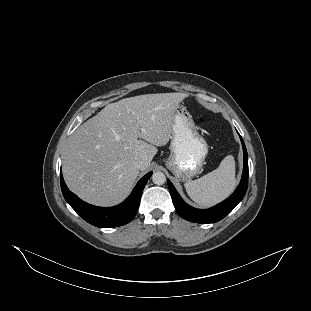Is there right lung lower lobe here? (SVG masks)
Masks as SVG:
<instances>
[{
    "label": "right lung lower lobe",
    "instance_id": "obj_1",
    "mask_svg": "<svg viewBox=\"0 0 311 311\" xmlns=\"http://www.w3.org/2000/svg\"><path fill=\"white\" fill-rule=\"evenodd\" d=\"M151 175L152 172H149L140 179L125 202L108 208L93 206L78 198L67 188L61 172L60 183L65 200L85 221L97 227L112 228L127 224L134 218L142 191Z\"/></svg>",
    "mask_w": 311,
    "mask_h": 311
}]
</instances>
